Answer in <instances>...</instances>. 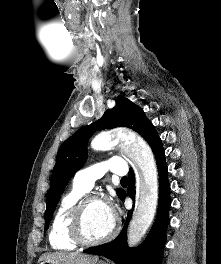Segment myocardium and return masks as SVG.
<instances>
[{
  "label": "myocardium",
  "instance_id": "myocardium-1",
  "mask_svg": "<svg viewBox=\"0 0 221 264\" xmlns=\"http://www.w3.org/2000/svg\"><path fill=\"white\" fill-rule=\"evenodd\" d=\"M91 201H100L105 203V201L98 195L85 194L74 205L69 218L70 237L75 243L82 246H96V245L104 244L110 241L118 231L117 219L114 217L112 228L107 235H105L100 239H95V240L86 237L83 229V219H84L86 206Z\"/></svg>",
  "mask_w": 221,
  "mask_h": 264
}]
</instances>
